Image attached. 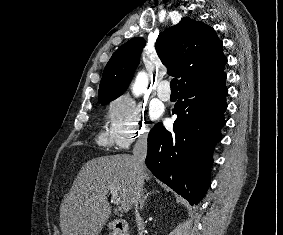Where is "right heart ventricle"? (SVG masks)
<instances>
[{
    "instance_id": "obj_1",
    "label": "right heart ventricle",
    "mask_w": 283,
    "mask_h": 235,
    "mask_svg": "<svg viewBox=\"0 0 283 235\" xmlns=\"http://www.w3.org/2000/svg\"><path fill=\"white\" fill-rule=\"evenodd\" d=\"M98 140L103 145H107L111 142L106 133H101Z\"/></svg>"
}]
</instances>
